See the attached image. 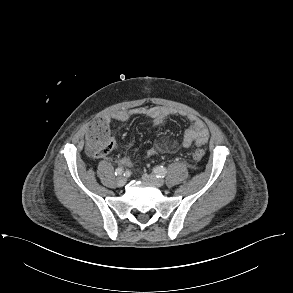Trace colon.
Listing matches in <instances>:
<instances>
[{
	"label": "colon",
	"instance_id": "5ec220e1",
	"mask_svg": "<svg viewBox=\"0 0 293 293\" xmlns=\"http://www.w3.org/2000/svg\"><path fill=\"white\" fill-rule=\"evenodd\" d=\"M87 150L93 157H102L114 147V140L110 134L108 124L103 119H95L86 135ZM205 152L201 148L193 151L196 161L204 158Z\"/></svg>",
	"mask_w": 293,
	"mask_h": 293
}]
</instances>
